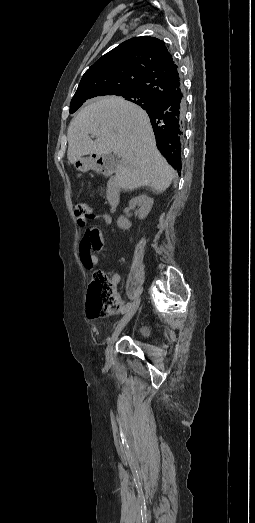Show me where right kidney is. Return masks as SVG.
<instances>
[{
    "label": "right kidney",
    "mask_w": 255,
    "mask_h": 523,
    "mask_svg": "<svg viewBox=\"0 0 255 523\" xmlns=\"http://www.w3.org/2000/svg\"><path fill=\"white\" fill-rule=\"evenodd\" d=\"M153 204V198H149L146 194H142V196H137V198H132V200H130L129 208L140 206L139 210H137L138 218L139 220H144V218L148 216ZM117 226H119L121 230H128V228H131V222H129L127 218H124V216H120L117 220Z\"/></svg>",
    "instance_id": "ca27d5eb"
}]
</instances>
